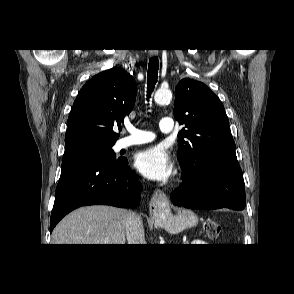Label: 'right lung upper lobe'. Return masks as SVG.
<instances>
[{
	"mask_svg": "<svg viewBox=\"0 0 294 294\" xmlns=\"http://www.w3.org/2000/svg\"><path fill=\"white\" fill-rule=\"evenodd\" d=\"M134 78L121 68H112L95 75L80 90L68 117L65 144L93 139L115 142L120 126L135 103Z\"/></svg>",
	"mask_w": 294,
	"mask_h": 294,
	"instance_id": "cb5924a9",
	"label": "right lung upper lobe"
}]
</instances>
